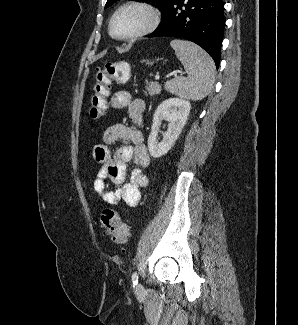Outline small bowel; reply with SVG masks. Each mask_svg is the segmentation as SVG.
Returning a JSON list of instances; mask_svg holds the SVG:
<instances>
[{
  "instance_id": "obj_1",
  "label": "small bowel",
  "mask_w": 298,
  "mask_h": 325,
  "mask_svg": "<svg viewBox=\"0 0 298 325\" xmlns=\"http://www.w3.org/2000/svg\"><path fill=\"white\" fill-rule=\"evenodd\" d=\"M110 105L114 109H128L132 121L141 125L144 104L140 100H132L129 92H115ZM119 141L129 144L120 146L112 153L110 146ZM93 158L101 164L93 181V188L101 200L109 205H116L120 201L130 207L138 205L141 189L149 183L145 169L150 163V156L143 131L121 123L109 126L103 133V143L94 147ZM130 161L135 164V168L126 182V163ZM110 185L113 189L109 188Z\"/></svg>"
}]
</instances>
